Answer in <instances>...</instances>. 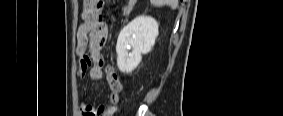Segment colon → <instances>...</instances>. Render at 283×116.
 Instances as JSON below:
<instances>
[{
  "instance_id": "obj_1",
  "label": "colon",
  "mask_w": 283,
  "mask_h": 116,
  "mask_svg": "<svg viewBox=\"0 0 283 116\" xmlns=\"http://www.w3.org/2000/svg\"><path fill=\"white\" fill-rule=\"evenodd\" d=\"M105 73L110 88L108 111L110 114H113L116 111V104L122 91V83L113 66L107 65Z\"/></svg>"
}]
</instances>
